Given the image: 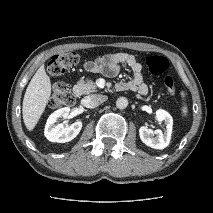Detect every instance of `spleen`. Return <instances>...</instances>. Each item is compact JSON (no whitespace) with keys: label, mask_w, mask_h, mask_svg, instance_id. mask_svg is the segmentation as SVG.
<instances>
[{"label":"spleen","mask_w":213,"mask_h":213,"mask_svg":"<svg viewBox=\"0 0 213 213\" xmlns=\"http://www.w3.org/2000/svg\"><path fill=\"white\" fill-rule=\"evenodd\" d=\"M181 96L182 98L185 97V93L184 92H181ZM182 115L183 116H187V113H188V108H187V105L185 103H183V106H182Z\"/></svg>","instance_id":"obj_1"}]
</instances>
